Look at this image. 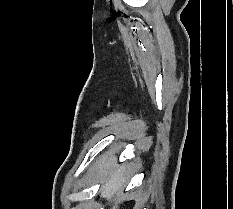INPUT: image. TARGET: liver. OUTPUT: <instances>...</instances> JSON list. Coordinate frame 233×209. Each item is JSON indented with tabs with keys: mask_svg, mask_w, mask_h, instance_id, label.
Instances as JSON below:
<instances>
[{
	"mask_svg": "<svg viewBox=\"0 0 233 209\" xmlns=\"http://www.w3.org/2000/svg\"><path fill=\"white\" fill-rule=\"evenodd\" d=\"M115 161V156L105 157L98 165V174L104 181L100 192L101 197L107 200H111L114 195L118 197L112 209H118L117 203L123 199L120 194L126 182L125 167H116Z\"/></svg>",
	"mask_w": 233,
	"mask_h": 209,
	"instance_id": "obj_1",
	"label": "liver"
}]
</instances>
